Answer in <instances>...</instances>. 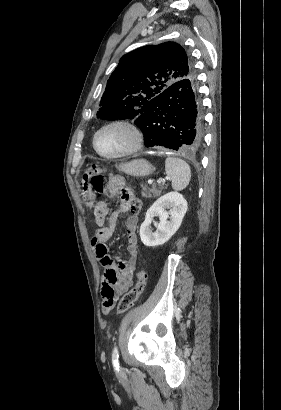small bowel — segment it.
I'll use <instances>...</instances> for the list:
<instances>
[{
  "mask_svg": "<svg viewBox=\"0 0 281 410\" xmlns=\"http://www.w3.org/2000/svg\"><path fill=\"white\" fill-rule=\"evenodd\" d=\"M123 184V178L119 175H112L109 179L108 193L114 194ZM140 208V202L134 193L129 190H123L121 204L118 212L109 214L108 204L104 200H99L94 206L95 222L98 229L95 231L91 241L94 254L98 262L104 268L102 281L103 302L109 296H112L115 303L117 297L125 293L133 284L136 269V260L138 257V243L136 230L139 223L137 212ZM132 211V214L124 220L127 234V252L128 260L112 258L108 254L107 241L112 236L118 218L121 214ZM107 313L109 310L103 308Z\"/></svg>",
  "mask_w": 281,
  "mask_h": 410,
  "instance_id": "obj_1",
  "label": "small bowel"
}]
</instances>
